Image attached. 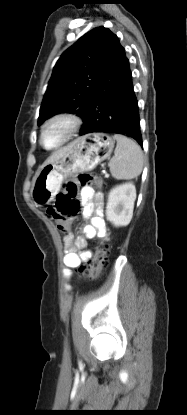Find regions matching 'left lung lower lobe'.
I'll return each mask as SVG.
<instances>
[{
  "label": "left lung lower lobe",
  "mask_w": 187,
  "mask_h": 415,
  "mask_svg": "<svg viewBox=\"0 0 187 415\" xmlns=\"http://www.w3.org/2000/svg\"><path fill=\"white\" fill-rule=\"evenodd\" d=\"M91 106L96 109V113L83 120L80 135L93 132L123 134L135 139L142 147L132 72L118 39L97 80Z\"/></svg>",
  "instance_id": "obj_1"
}]
</instances>
